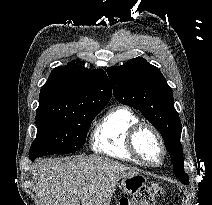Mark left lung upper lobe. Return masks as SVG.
<instances>
[{
	"label": "left lung upper lobe",
	"instance_id": "5c2ea615",
	"mask_svg": "<svg viewBox=\"0 0 212 205\" xmlns=\"http://www.w3.org/2000/svg\"><path fill=\"white\" fill-rule=\"evenodd\" d=\"M115 98L142 114L161 133L173 163V172L184 184L189 183L183 168V149L180 143L181 122L174 108L172 88L160 70L141 57L118 67H109Z\"/></svg>",
	"mask_w": 212,
	"mask_h": 205
}]
</instances>
